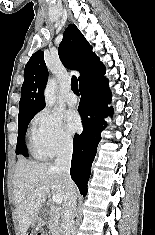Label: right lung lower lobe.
I'll return each instance as SVG.
<instances>
[{
  "instance_id": "1",
  "label": "right lung lower lobe",
  "mask_w": 155,
  "mask_h": 235,
  "mask_svg": "<svg viewBox=\"0 0 155 235\" xmlns=\"http://www.w3.org/2000/svg\"><path fill=\"white\" fill-rule=\"evenodd\" d=\"M103 75L80 86L81 102L78 111L82 117L83 132L76 134L73 139L70 174L83 196L87 194L91 165L101 140L100 133L107 126L104 118L113 114V108L107 106L111 101L108 79Z\"/></svg>"
}]
</instances>
